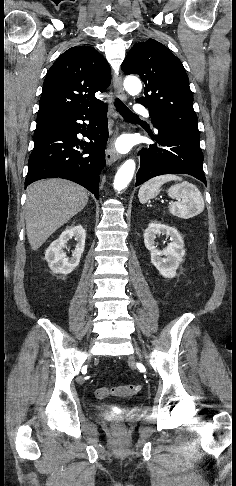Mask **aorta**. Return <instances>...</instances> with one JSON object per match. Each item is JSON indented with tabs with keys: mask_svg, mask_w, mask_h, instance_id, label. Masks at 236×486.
Here are the masks:
<instances>
[{
	"mask_svg": "<svg viewBox=\"0 0 236 486\" xmlns=\"http://www.w3.org/2000/svg\"><path fill=\"white\" fill-rule=\"evenodd\" d=\"M124 88L132 95L140 93L142 84L137 77H127L124 80ZM135 172V161L129 159L123 163L115 175L114 188L117 191L124 190L133 178Z\"/></svg>",
	"mask_w": 236,
	"mask_h": 486,
	"instance_id": "obj_1",
	"label": "aorta"
}]
</instances>
